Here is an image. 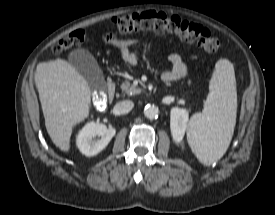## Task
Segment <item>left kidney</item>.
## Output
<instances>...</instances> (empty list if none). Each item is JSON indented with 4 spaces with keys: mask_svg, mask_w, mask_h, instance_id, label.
<instances>
[{
    "mask_svg": "<svg viewBox=\"0 0 275 215\" xmlns=\"http://www.w3.org/2000/svg\"><path fill=\"white\" fill-rule=\"evenodd\" d=\"M188 111L181 108H172L170 114V128L173 139L181 142L188 127Z\"/></svg>",
    "mask_w": 275,
    "mask_h": 215,
    "instance_id": "left-kidney-1",
    "label": "left kidney"
}]
</instances>
